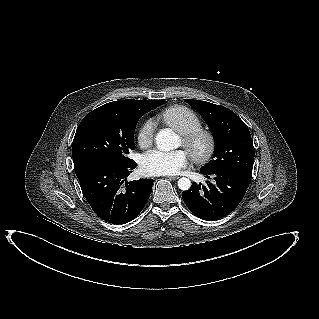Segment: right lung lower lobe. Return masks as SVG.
<instances>
[{
	"mask_svg": "<svg viewBox=\"0 0 319 319\" xmlns=\"http://www.w3.org/2000/svg\"><path fill=\"white\" fill-rule=\"evenodd\" d=\"M136 167L125 164L95 162L76 171L82 192L93 211L104 221L125 224L139 215L152 190V179L127 182Z\"/></svg>",
	"mask_w": 319,
	"mask_h": 319,
	"instance_id": "obj_1",
	"label": "right lung lower lobe"
}]
</instances>
